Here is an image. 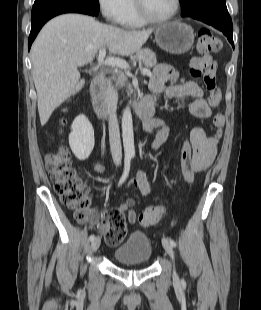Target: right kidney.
<instances>
[{
  "label": "right kidney",
  "mask_w": 261,
  "mask_h": 310,
  "mask_svg": "<svg viewBox=\"0 0 261 310\" xmlns=\"http://www.w3.org/2000/svg\"><path fill=\"white\" fill-rule=\"evenodd\" d=\"M94 129L85 115L77 116L71 126L69 145L79 160H86L94 148Z\"/></svg>",
  "instance_id": "obj_1"
}]
</instances>
